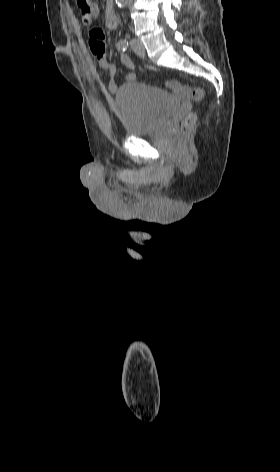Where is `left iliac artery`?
Segmentation results:
<instances>
[{
  "mask_svg": "<svg viewBox=\"0 0 280 472\" xmlns=\"http://www.w3.org/2000/svg\"><path fill=\"white\" fill-rule=\"evenodd\" d=\"M116 47L118 50H121V51H126L127 48H128V41L126 39H122L120 41H118V43L116 44Z\"/></svg>",
  "mask_w": 280,
  "mask_h": 472,
  "instance_id": "1",
  "label": "left iliac artery"
}]
</instances>
